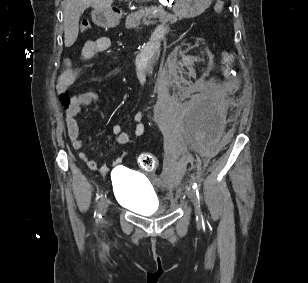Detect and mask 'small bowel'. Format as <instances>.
Segmentation results:
<instances>
[{"label":"small bowel","instance_id":"small-bowel-1","mask_svg":"<svg viewBox=\"0 0 308 283\" xmlns=\"http://www.w3.org/2000/svg\"><path fill=\"white\" fill-rule=\"evenodd\" d=\"M111 47V40L107 37H100L95 40H90L86 42L83 47V54L85 57H94L100 53L107 51ZM137 75L140 80L145 78V71L138 66ZM79 72L73 69L68 62H66L64 69L58 77L57 89L59 92L67 91L78 79ZM98 96L93 91H87L74 96L71 100L70 106L67 108L66 113V123L68 127L69 138L71 140L72 146L78 152L79 158L85 162V164L91 170H99L101 173H107L110 170V166L102 165L98 167L97 163L90 159L89 156L83 151L84 141L79 137V128L76 122V116H78L83 108L92 102L97 101ZM165 108L164 102L158 104L159 114H163ZM137 121L134 136L136 138L142 136L145 133L146 127L143 122L144 113L140 112L135 116ZM114 133L117 135V142L120 145H125L130 141V135L123 131L120 125H115L113 127ZM121 162V158L116 159L113 165H117Z\"/></svg>","mask_w":308,"mask_h":283}]
</instances>
